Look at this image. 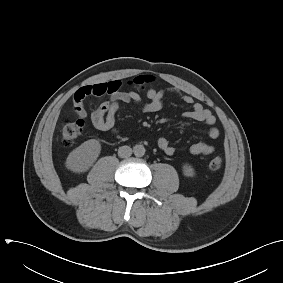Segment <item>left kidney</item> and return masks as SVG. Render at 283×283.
Masks as SVG:
<instances>
[{"label":"left kidney","mask_w":283,"mask_h":283,"mask_svg":"<svg viewBox=\"0 0 283 283\" xmlns=\"http://www.w3.org/2000/svg\"><path fill=\"white\" fill-rule=\"evenodd\" d=\"M183 173L185 176H188V177H193L195 175V171L193 167L189 164L183 165Z\"/></svg>","instance_id":"1"}]
</instances>
